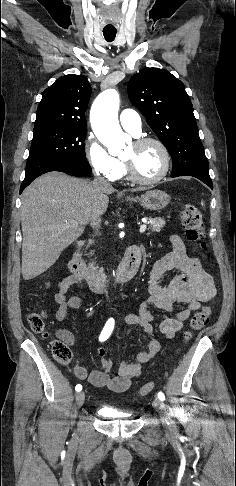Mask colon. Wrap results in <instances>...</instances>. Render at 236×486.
I'll list each match as a JSON object with an SVG mask.
<instances>
[{
    "label": "colon",
    "mask_w": 236,
    "mask_h": 486,
    "mask_svg": "<svg viewBox=\"0 0 236 486\" xmlns=\"http://www.w3.org/2000/svg\"><path fill=\"white\" fill-rule=\"evenodd\" d=\"M181 222L185 229V234L188 240L198 242L201 248L205 247L203 242L205 230L202 213L199 207L195 204H186L181 212ZM211 309L207 306L196 312L190 320V329L184 332L183 340L188 342L194 332L204 328L210 319ZM29 324L31 329L38 334H45V319L41 312H33L29 315ZM54 358L61 364H68L72 358V352L68 344L62 340H55L52 346ZM154 388V383H148L142 386L139 391V396H146Z\"/></svg>",
    "instance_id": "5ec220e1"
}]
</instances>
